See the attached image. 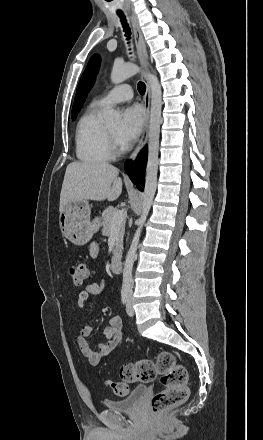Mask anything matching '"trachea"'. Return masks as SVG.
<instances>
[{
    "instance_id": "obj_1",
    "label": "trachea",
    "mask_w": 263,
    "mask_h": 440,
    "mask_svg": "<svg viewBox=\"0 0 263 440\" xmlns=\"http://www.w3.org/2000/svg\"><path fill=\"white\" fill-rule=\"evenodd\" d=\"M117 14L120 17V20H121V22L123 24V28H124V32H125V35L127 37V40H129L131 33H130V28H129L127 22H126L125 16H124V14L122 12H118ZM138 91H139V93L141 95H144V93L146 91V85L143 82H139L138 83Z\"/></svg>"
}]
</instances>
